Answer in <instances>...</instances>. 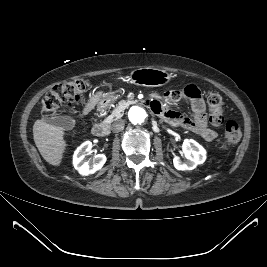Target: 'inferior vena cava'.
<instances>
[{
  "label": "inferior vena cava",
  "mask_w": 267,
  "mask_h": 267,
  "mask_svg": "<svg viewBox=\"0 0 267 267\" xmlns=\"http://www.w3.org/2000/svg\"><path fill=\"white\" fill-rule=\"evenodd\" d=\"M124 125H125L124 120L120 119L112 124L111 129L114 133H117L124 129Z\"/></svg>",
  "instance_id": "obj_1"
}]
</instances>
